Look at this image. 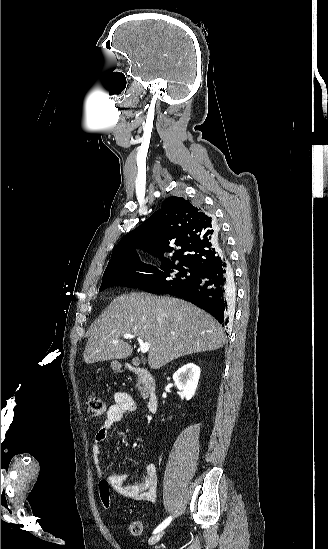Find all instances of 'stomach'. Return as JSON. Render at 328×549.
Listing matches in <instances>:
<instances>
[{"instance_id":"0dacf381","label":"stomach","mask_w":328,"mask_h":549,"mask_svg":"<svg viewBox=\"0 0 328 549\" xmlns=\"http://www.w3.org/2000/svg\"><path fill=\"white\" fill-rule=\"evenodd\" d=\"M111 369L112 371H115V373H119V371H121L122 369V365L121 363H119V361H112Z\"/></svg>"}]
</instances>
